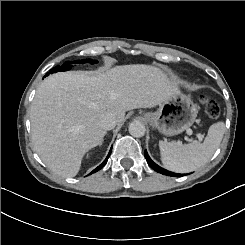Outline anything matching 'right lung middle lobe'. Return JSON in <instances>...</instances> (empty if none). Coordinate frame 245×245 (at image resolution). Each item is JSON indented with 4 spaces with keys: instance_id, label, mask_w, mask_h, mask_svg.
Wrapping results in <instances>:
<instances>
[{
    "instance_id": "1",
    "label": "right lung middle lobe",
    "mask_w": 245,
    "mask_h": 245,
    "mask_svg": "<svg viewBox=\"0 0 245 245\" xmlns=\"http://www.w3.org/2000/svg\"><path fill=\"white\" fill-rule=\"evenodd\" d=\"M87 62H89L91 64L97 63V61L91 60V59L78 60V61H75L74 63H87ZM70 68H71V66H69L68 64L67 65H63V66H60V67L59 66H56V67L52 68L49 71V73L46 74V76L49 75V74H52V73H56L58 71H66V70H69Z\"/></svg>"
}]
</instances>
